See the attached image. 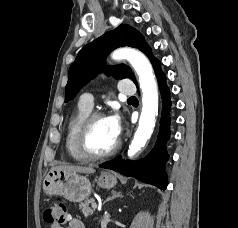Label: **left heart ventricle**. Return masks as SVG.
I'll list each match as a JSON object with an SVG mask.
<instances>
[{
	"label": "left heart ventricle",
	"mask_w": 238,
	"mask_h": 228,
	"mask_svg": "<svg viewBox=\"0 0 238 228\" xmlns=\"http://www.w3.org/2000/svg\"><path fill=\"white\" fill-rule=\"evenodd\" d=\"M117 140L112 134L106 118L96 120L89 137V147L92 151L95 153H104L110 150L116 144Z\"/></svg>",
	"instance_id": "obj_1"
}]
</instances>
